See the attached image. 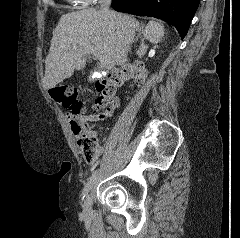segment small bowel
<instances>
[{
	"mask_svg": "<svg viewBox=\"0 0 240 238\" xmlns=\"http://www.w3.org/2000/svg\"><path fill=\"white\" fill-rule=\"evenodd\" d=\"M118 105H119V101H118V99H115L112 106H110L109 108H106L103 113L82 115L79 117V120L84 124L94 123V122L104 120L113 115V113L115 112ZM66 115H67L68 119H71L72 115L70 113H67ZM94 135L96 137L95 133H94Z\"/></svg>",
	"mask_w": 240,
	"mask_h": 238,
	"instance_id": "c3829d8e",
	"label": "small bowel"
}]
</instances>
